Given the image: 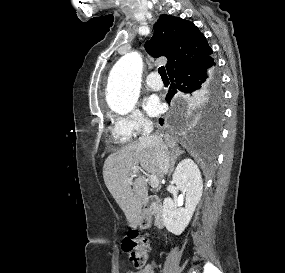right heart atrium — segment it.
Here are the masks:
<instances>
[{
  "label": "right heart atrium",
  "instance_id": "right-heart-atrium-1",
  "mask_svg": "<svg viewBox=\"0 0 285 273\" xmlns=\"http://www.w3.org/2000/svg\"><path fill=\"white\" fill-rule=\"evenodd\" d=\"M151 126L150 119L136 109L117 116L115 124L117 130L130 139L148 132Z\"/></svg>",
  "mask_w": 285,
  "mask_h": 273
}]
</instances>
